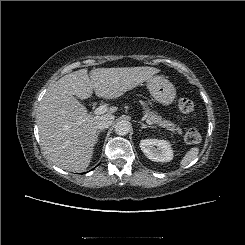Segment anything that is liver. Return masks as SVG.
Masks as SVG:
<instances>
[{"label":"liver","mask_w":245,"mask_h":245,"mask_svg":"<svg viewBox=\"0 0 245 245\" xmlns=\"http://www.w3.org/2000/svg\"><path fill=\"white\" fill-rule=\"evenodd\" d=\"M160 72L154 67L97 68L69 73L49 87L41 101L37 124L40 144L58 167L84 171L90 164L98 137L100 116L88 114L77 98L116 99ZM77 97V98H76ZM110 107L106 114H113Z\"/></svg>","instance_id":"6515ba94"}]
</instances>
